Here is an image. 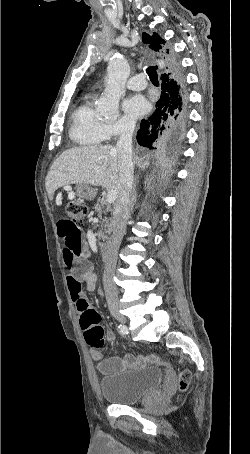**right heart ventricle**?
I'll list each match as a JSON object with an SVG mask.
<instances>
[{
	"label": "right heart ventricle",
	"mask_w": 250,
	"mask_h": 454,
	"mask_svg": "<svg viewBox=\"0 0 250 454\" xmlns=\"http://www.w3.org/2000/svg\"><path fill=\"white\" fill-rule=\"evenodd\" d=\"M70 139L82 147H95L109 139L107 124L101 120L91 100L80 105L72 116Z\"/></svg>",
	"instance_id": "e07e8e85"
}]
</instances>
